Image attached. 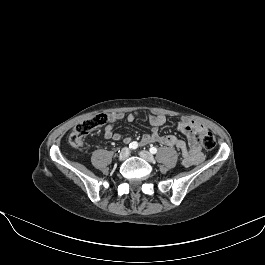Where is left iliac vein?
<instances>
[{"label":"left iliac vein","instance_id":"obj_1","mask_svg":"<svg viewBox=\"0 0 265 265\" xmlns=\"http://www.w3.org/2000/svg\"><path fill=\"white\" fill-rule=\"evenodd\" d=\"M139 155H140L141 158H143L144 160H146L148 162H151L152 163V162L155 161L154 156L150 152H148V151H145V150L140 151L139 152Z\"/></svg>","mask_w":265,"mask_h":265}]
</instances>
